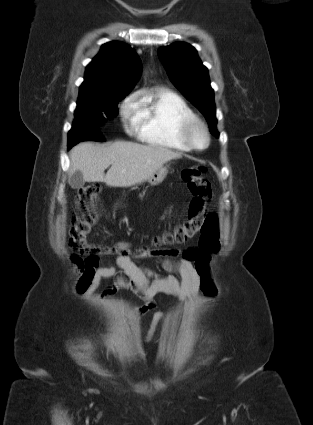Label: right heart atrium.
Returning <instances> with one entry per match:
<instances>
[{
  "label": "right heart atrium",
  "instance_id": "obj_1",
  "mask_svg": "<svg viewBox=\"0 0 313 425\" xmlns=\"http://www.w3.org/2000/svg\"><path fill=\"white\" fill-rule=\"evenodd\" d=\"M137 108V97L135 95L128 97L121 107L123 120L129 121L132 128L135 126Z\"/></svg>",
  "mask_w": 313,
  "mask_h": 425
}]
</instances>
